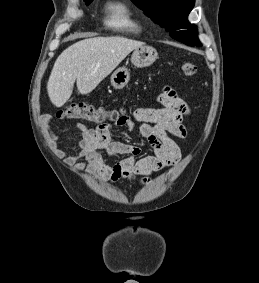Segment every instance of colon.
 Here are the masks:
<instances>
[{"label": "colon", "mask_w": 259, "mask_h": 283, "mask_svg": "<svg viewBox=\"0 0 259 283\" xmlns=\"http://www.w3.org/2000/svg\"><path fill=\"white\" fill-rule=\"evenodd\" d=\"M181 71L187 77H193L197 74V66L191 62H183ZM123 116L121 110H107L103 107H96L86 103H73L57 112V117L61 119H80L92 123H105L108 121H117Z\"/></svg>", "instance_id": "obj_1"}]
</instances>
